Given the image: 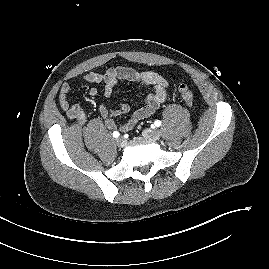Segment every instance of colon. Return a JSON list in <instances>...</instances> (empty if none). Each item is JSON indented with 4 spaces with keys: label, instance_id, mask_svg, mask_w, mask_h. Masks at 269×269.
Masks as SVG:
<instances>
[{
    "label": "colon",
    "instance_id": "1",
    "mask_svg": "<svg viewBox=\"0 0 269 269\" xmlns=\"http://www.w3.org/2000/svg\"><path fill=\"white\" fill-rule=\"evenodd\" d=\"M178 89H179V93H180L183 101L185 102V104L187 106H192L194 99H193V94H192V91L190 90V88L186 84L181 83L179 85Z\"/></svg>",
    "mask_w": 269,
    "mask_h": 269
}]
</instances>
